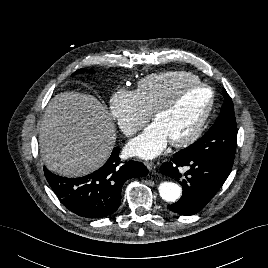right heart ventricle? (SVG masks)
Masks as SVG:
<instances>
[{"mask_svg": "<svg viewBox=\"0 0 268 268\" xmlns=\"http://www.w3.org/2000/svg\"><path fill=\"white\" fill-rule=\"evenodd\" d=\"M198 76L183 70H167L152 73L142 78L137 85L145 108L153 113L164 104L181 85L199 82Z\"/></svg>", "mask_w": 268, "mask_h": 268, "instance_id": "e07e8e85", "label": "right heart ventricle"}]
</instances>
